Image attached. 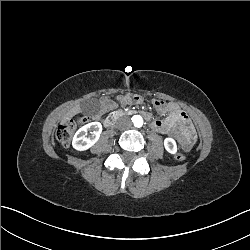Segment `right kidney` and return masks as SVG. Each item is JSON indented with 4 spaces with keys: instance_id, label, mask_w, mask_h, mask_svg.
<instances>
[{
    "instance_id": "ca27d5eb",
    "label": "right kidney",
    "mask_w": 250,
    "mask_h": 250,
    "mask_svg": "<svg viewBox=\"0 0 250 250\" xmlns=\"http://www.w3.org/2000/svg\"><path fill=\"white\" fill-rule=\"evenodd\" d=\"M101 131L102 125L97 121L82 126L73 137V147L78 150L89 148L98 140Z\"/></svg>"
}]
</instances>
